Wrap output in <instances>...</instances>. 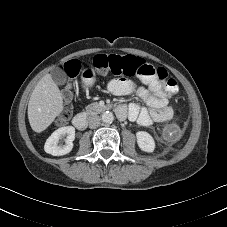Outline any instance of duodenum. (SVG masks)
<instances>
[{"mask_svg":"<svg viewBox=\"0 0 227 227\" xmlns=\"http://www.w3.org/2000/svg\"><path fill=\"white\" fill-rule=\"evenodd\" d=\"M81 86L83 88H90L91 87V83H88L86 81H81ZM116 114L119 117H125L126 116V108L123 106H117L116 109ZM73 125L75 128H77L78 130H85L88 127V118L86 115H77L74 117L73 119Z\"/></svg>","mask_w":227,"mask_h":227,"instance_id":"duodenum-1","label":"duodenum"}]
</instances>
